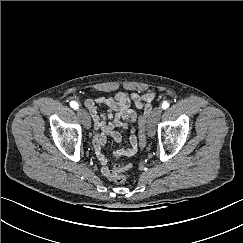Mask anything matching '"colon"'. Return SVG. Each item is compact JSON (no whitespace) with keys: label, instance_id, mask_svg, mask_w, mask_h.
<instances>
[{"label":"colon","instance_id":"1","mask_svg":"<svg viewBox=\"0 0 243 243\" xmlns=\"http://www.w3.org/2000/svg\"><path fill=\"white\" fill-rule=\"evenodd\" d=\"M138 135H139V141H140V146L144 147L146 143V117L140 116L138 119ZM131 168V164L128 162H123V164L118 165V173L117 176L115 177V182L118 184H122L127 181V175L126 171Z\"/></svg>","mask_w":243,"mask_h":243}]
</instances>
